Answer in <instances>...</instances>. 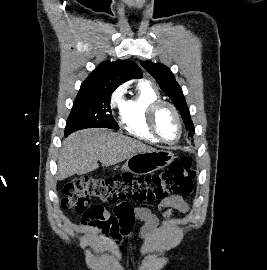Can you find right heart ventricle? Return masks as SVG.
<instances>
[{"mask_svg":"<svg viewBox=\"0 0 267 270\" xmlns=\"http://www.w3.org/2000/svg\"><path fill=\"white\" fill-rule=\"evenodd\" d=\"M162 100L159 91L149 81H141L137 92L128 99L122 108L120 124L130 135L156 144L158 140L152 135L147 125V112L149 106Z\"/></svg>","mask_w":267,"mask_h":270,"instance_id":"e07e8e85","label":"right heart ventricle"}]
</instances>
